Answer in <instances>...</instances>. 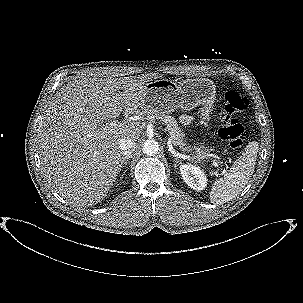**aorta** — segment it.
<instances>
[{
	"instance_id": "obj_1",
	"label": "aorta",
	"mask_w": 303,
	"mask_h": 303,
	"mask_svg": "<svg viewBox=\"0 0 303 303\" xmlns=\"http://www.w3.org/2000/svg\"><path fill=\"white\" fill-rule=\"evenodd\" d=\"M142 150L147 156H154L159 151V144L153 139H148L144 142Z\"/></svg>"
}]
</instances>
